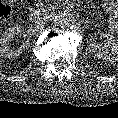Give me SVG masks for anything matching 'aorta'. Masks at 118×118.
<instances>
[{"instance_id": "obj_1", "label": "aorta", "mask_w": 118, "mask_h": 118, "mask_svg": "<svg viewBox=\"0 0 118 118\" xmlns=\"http://www.w3.org/2000/svg\"><path fill=\"white\" fill-rule=\"evenodd\" d=\"M55 26L61 28H72L76 25L77 21L71 13H59L53 17Z\"/></svg>"}]
</instances>
